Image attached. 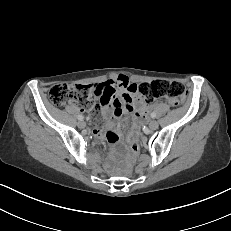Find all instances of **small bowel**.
I'll return each mask as SVG.
<instances>
[{"mask_svg":"<svg viewBox=\"0 0 231 231\" xmlns=\"http://www.w3.org/2000/svg\"><path fill=\"white\" fill-rule=\"evenodd\" d=\"M91 88L93 98L102 103L103 114L108 119L105 130L100 122L93 123V132L99 137L104 136L109 143L118 141L117 121L124 113H135L137 117L147 113V107L139 105L141 102L138 86L129 82L124 74H117L102 83L92 84Z\"/></svg>","mask_w":231,"mask_h":231,"instance_id":"small-bowel-1","label":"small bowel"}]
</instances>
